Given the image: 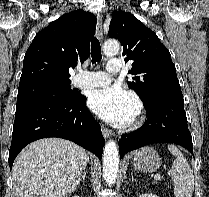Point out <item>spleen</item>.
Listing matches in <instances>:
<instances>
[{"label":"spleen","instance_id":"1","mask_svg":"<svg viewBox=\"0 0 209 197\" xmlns=\"http://www.w3.org/2000/svg\"><path fill=\"white\" fill-rule=\"evenodd\" d=\"M175 160L168 174L174 182L175 197H191L194 190V175L186 158L175 145H168Z\"/></svg>","mask_w":209,"mask_h":197}]
</instances>
